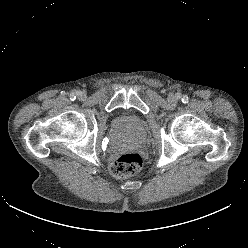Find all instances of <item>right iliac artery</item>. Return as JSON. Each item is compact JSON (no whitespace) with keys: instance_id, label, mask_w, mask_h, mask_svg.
Masks as SVG:
<instances>
[{"instance_id":"82829eb1","label":"right iliac artery","mask_w":248,"mask_h":248,"mask_svg":"<svg viewBox=\"0 0 248 248\" xmlns=\"http://www.w3.org/2000/svg\"><path fill=\"white\" fill-rule=\"evenodd\" d=\"M75 98H76V94L75 93H70V99L71 100H75Z\"/></svg>"}]
</instances>
